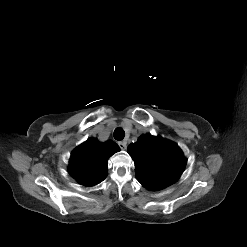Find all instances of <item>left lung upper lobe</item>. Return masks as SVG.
I'll return each instance as SVG.
<instances>
[{
	"label": "left lung upper lobe",
	"mask_w": 247,
	"mask_h": 247,
	"mask_svg": "<svg viewBox=\"0 0 247 247\" xmlns=\"http://www.w3.org/2000/svg\"><path fill=\"white\" fill-rule=\"evenodd\" d=\"M127 152L134 160L137 180L149 190H161L175 183L187 162L177 144L151 134L140 136Z\"/></svg>",
	"instance_id": "5c2ea615"
}]
</instances>
